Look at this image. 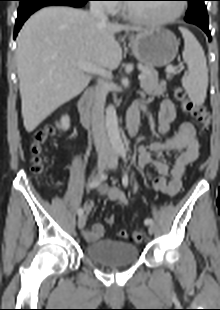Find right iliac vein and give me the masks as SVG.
I'll return each mask as SVG.
<instances>
[{
  "label": "right iliac vein",
  "instance_id": "right-iliac-vein-1",
  "mask_svg": "<svg viewBox=\"0 0 220 310\" xmlns=\"http://www.w3.org/2000/svg\"><path fill=\"white\" fill-rule=\"evenodd\" d=\"M111 158L109 157H100L97 163L98 173L101 174L105 168L109 165ZM86 224V216L81 215L78 218V228L83 229Z\"/></svg>",
  "mask_w": 220,
  "mask_h": 310
}]
</instances>
